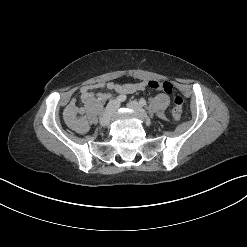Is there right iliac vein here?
<instances>
[{"label":"right iliac vein","instance_id":"1","mask_svg":"<svg viewBox=\"0 0 247 247\" xmlns=\"http://www.w3.org/2000/svg\"><path fill=\"white\" fill-rule=\"evenodd\" d=\"M119 104L116 100H112L108 103L102 117L100 118V125L103 127H108L110 125V121L114 116Z\"/></svg>","mask_w":247,"mask_h":247}]
</instances>
